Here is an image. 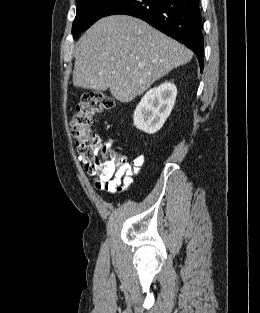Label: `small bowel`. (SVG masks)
Returning a JSON list of instances; mask_svg holds the SVG:
<instances>
[{
    "label": "small bowel",
    "mask_w": 260,
    "mask_h": 313,
    "mask_svg": "<svg viewBox=\"0 0 260 313\" xmlns=\"http://www.w3.org/2000/svg\"><path fill=\"white\" fill-rule=\"evenodd\" d=\"M142 161V156H137L133 160L132 165L126 166L122 174L114 180L104 181L95 178L93 180L95 188L99 191H106L110 195L124 192L132 184L133 177L138 172V166L142 163Z\"/></svg>",
    "instance_id": "small-bowel-1"
}]
</instances>
